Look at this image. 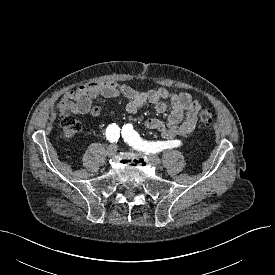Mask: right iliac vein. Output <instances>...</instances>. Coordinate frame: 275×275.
Here are the masks:
<instances>
[{
  "instance_id": "right-iliac-vein-1",
  "label": "right iliac vein",
  "mask_w": 275,
  "mask_h": 275,
  "mask_svg": "<svg viewBox=\"0 0 275 275\" xmlns=\"http://www.w3.org/2000/svg\"><path fill=\"white\" fill-rule=\"evenodd\" d=\"M117 153V145L116 144H111L108 146L106 150V154L108 157H114Z\"/></svg>"
}]
</instances>
